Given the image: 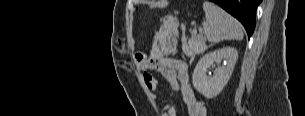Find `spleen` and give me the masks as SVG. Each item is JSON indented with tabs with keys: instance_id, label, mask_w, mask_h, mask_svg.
Masks as SVG:
<instances>
[{
	"instance_id": "1",
	"label": "spleen",
	"mask_w": 305,
	"mask_h": 116,
	"mask_svg": "<svg viewBox=\"0 0 305 116\" xmlns=\"http://www.w3.org/2000/svg\"><path fill=\"white\" fill-rule=\"evenodd\" d=\"M203 10L206 16L204 34L211 43H219L223 40L243 39V27L241 23L212 2L205 1Z\"/></svg>"
}]
</instances>
